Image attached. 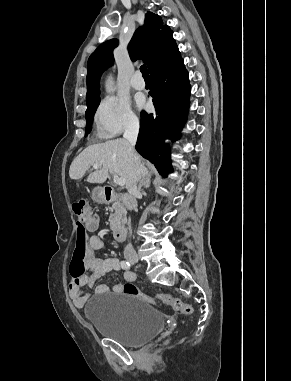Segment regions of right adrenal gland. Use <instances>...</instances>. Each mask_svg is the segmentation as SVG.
I'll list each match as a JSON object with an SVG mask.
<instances>
[{
  "label": "right adrenal gland",
  "instance_id": "right-adrenal-gland-1",
  "mask_svg": "<svg viewBox=\"0 0 291 381\" xmlns=\"http://www.w3.org/2000/svg\"><path fill=\"white\" fill-rule=\"evenodd\" d=\"M150 185H151V174L147 173L146 175H144V177L140 181L138 189L140 191L142 187L147 188V187H150Z\"/></svg>",
  "mask_w": 291,
  "mask_h": 381
}]
</instances>
